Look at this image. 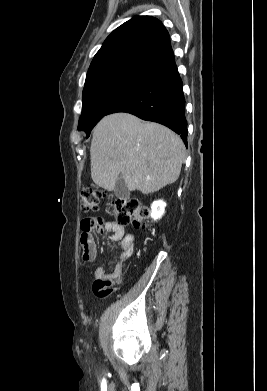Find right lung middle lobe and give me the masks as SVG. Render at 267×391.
<instances>
[{"instance_id":"obj_1","label":"right lung middle lobe","mask_w":267,"mask_h":391,"mask_svg":"<svg viewBox=\"0 0 267 391\" xmlns=\"http://www.w3.org/2000/svg\"><path fill=\"white\" fill-rule=\"evenodd\" d=\"M150 76L135 72H114L86 82L78 130L85 131L88 138L92 128L115 105L142 86Z\"/></svg>"}]
</instances>
